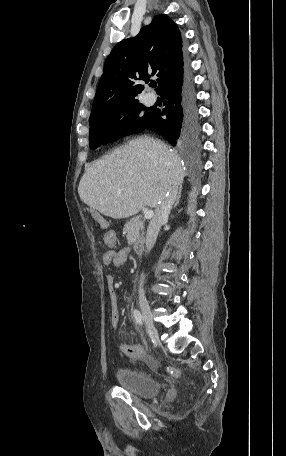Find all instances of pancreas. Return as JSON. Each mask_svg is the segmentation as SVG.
<instances>
[{"label":"pancreas","instance_id":"1","mask_svg":"<svg viewBox=\"0 0 286 456\" xmlns=\"http://www.w3.org/2000/svg\"><path fill=\"white\" fill-rule=\"evenodd\" d=\"M143 229V222L138 217L127 222L124 226L127 243L129 245H137L140 243L143 240Z\"/></svg>","mask_w":286,"mask_h":456}]
</instances>
